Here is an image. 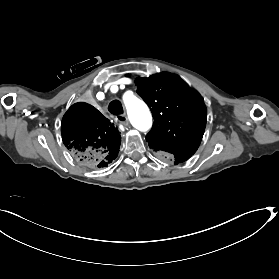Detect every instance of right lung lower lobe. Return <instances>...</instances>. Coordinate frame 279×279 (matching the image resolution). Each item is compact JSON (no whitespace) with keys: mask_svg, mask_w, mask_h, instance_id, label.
I'll use <instances>...</instances> for the list:
<instances>
[{"mask_svg":"<svg viewBox=\"0 0 279 279\" xmlns=\"http://www.w3.org/2000/svg\"><path fill=\"white\" fill-rule=\"evenodd\" d=\"M61 135L73 158L86 168L107 167L118 156V129L87 103H76L68 109L62 119Z\"/></svg>","mask_w":279,"mask_h":279,"instance_id":"obj_1","label":"right lung lower lobe"}]
</instances>
